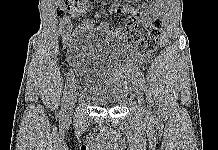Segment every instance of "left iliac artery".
I'll list each match as a JSON object with an SVG mask.
<instances>
[{
	"label": "left iliac artery",
	"mask_w": 218,
	"mask_h": 150,
	"mask_svg": "<svg viewBox=\"0 0 218 150\" xmlns=\"http://www.w3.org/2000/svg\"><path fill=\"white\" fill-rule=\"evenodd\" d=\"M140 86L144 90V92H147V85H146V80L144 77H140Z\"/></svg>",
	"instance_id": "1"
}]
</instances>
